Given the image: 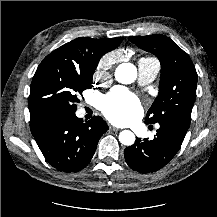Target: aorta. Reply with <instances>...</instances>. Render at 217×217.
Returning <instances> with one entry per match:
<instances>
[{
	"mask_svg": "<svg viewBox=\"0 0 217 217\" xmlns=\"http://www.w3.org/2000/svg\"><path fill=\"white\" fill-rule=\"evenodd\" d=\"M137 69L132 63H122L115 71V79L122 84H131L135 81ZM119 141L126 146H131L135 142V135L130 130H123L119 134Z\"/></svg>",
	"mask_w": 217,
	"mask_h": 217,
	"instance_id": "762f6f07",
	"label": "aorta"
}]
</instances>
